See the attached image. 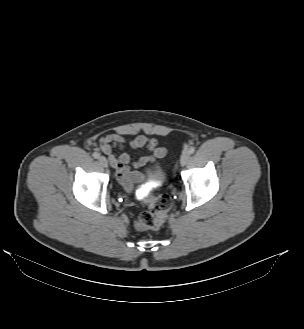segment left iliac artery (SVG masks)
Instances as JSON below:
<instances>
[{
	"label": "left iliac artery",
	"instance_id": "44dca946",
	"mask_svg": "<svg viewBox=\"0 0 304 329\" xmlns=\"http://www.w3.org/2000/svg\"><path fill=\"white\" fill-rule=\"evenodd\" d=\"M194 152H195V147H190V148H189V153H190V154H193Z\"/></svg>",
	"mask_w": 304,
	"mask_h": 329
}]
</instances>
